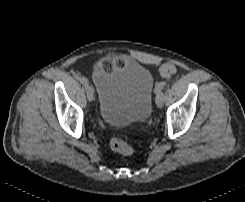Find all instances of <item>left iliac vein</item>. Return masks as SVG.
I'll list each match as a JSON object with an SVG mask.
<instances>
[{
  "label": "left iliac vein",
  "mask_w": 245,
  "mask_h": 202,
  "mask_svg": "<svg viewBox=\"0 0 245 202\" xmlns=\"http://www.w3.org/2000/svg\"><path fill=\"white\" fill-rule=\"evenodd\" d=\"M164 104V94L161 91V93L156 97V105L161 108Z\"/></svg>",
  "instance_id": "1"
}]
</instances>
